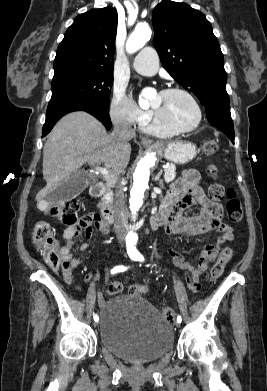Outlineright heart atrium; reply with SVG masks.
<instances>
[{"instance_id":"d8ad5b80","label":"right heart atrium","mask_w":267,"mask_h":391,"mask_svg":"<svg viewBox=\"0 0 267 391\" xmlns=\"http://www.w3.org/2000/svg\"><path fill=\"white\" fill-rule=\"evenodd\" d=\"M109 114L114 123L126 126H143L151 118L149 111L140 109L134 101L119 90L113 92Z\"/></svg>"}]
</instances>
